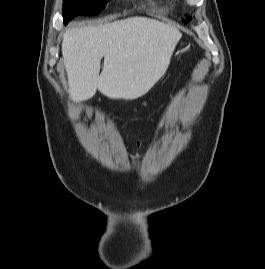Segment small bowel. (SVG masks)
<instances>
[{"instance_id":"c3829d8e","label":"small bowel","mask_w":265,"mask_h":269,"mask_svg":"<svg viewBox=\"0 0 265 269\" xmlns=\"http://www.w3.org/2000/svg\"><path fill=\"white\" fill-rule=\"evenodd\" d=\"M137 144H138V146H142V141L138 140Z\"/></svg>"}]
</instances>
